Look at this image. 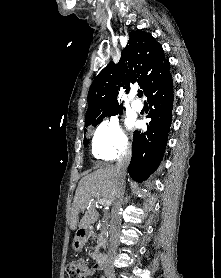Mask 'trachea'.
I'll use <instances>...</instances> for the list:
<instances>
[{
    "label": "trachea",
    "instance_id": "3493384b",
    "mask_svg": "<svg viewBox=\"0 0 221 278\" xmlns=\"http://www.w3.org/2000/svg\"><path fill=\"white\" fill-rule=\"evenodd\" d=\"M143 96V91L142 90H138V97H142Z\"/></svg>",
    "mask_w": 221,
    "mask_h": 278
}]
</instances>
